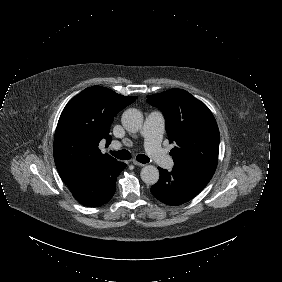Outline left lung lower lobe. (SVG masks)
<instances>
[{
  "instance_id": "left-lung-lower-lobe-1",
  "label": "left lung lower lobe",
  "mask_w": 282,
  "mask_h": 282,
  "mask_svg": "<svg viewBox=\"0 0 282 282\" xmlns=\"http://www.w3.org/2000/svg\"><path fill=\"white\" fill-rule=\"evenodd\" d=\"M216 167V164L206 162L174 165L171 172L158 167L160 179L151 187V192L167 205H181L194 198L208 184Z\"/></svg>"
}]
</instances>
